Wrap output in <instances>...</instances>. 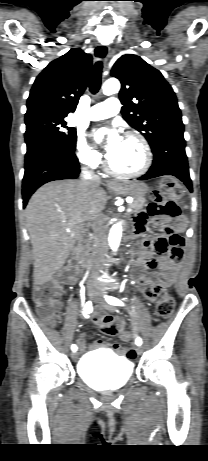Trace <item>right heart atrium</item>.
<instances>
[{
    "label": "right heart atrium",
    "instance_id": "right-heart-atrium-1",
    "mask_svg": "<svg viewBox=\"0 0 208 461\" xmlns=\"http://www.w3.org/2000/svg\"><path fill=\"white\" fill-rule=\"evenodd\" d=\"M76 156L79 163L88 169H96L102 163V156L83 137H79L76 146Z\"/></svg>",
    "mask_w": 208,
    "mask_h": 461
}]
</instances>
